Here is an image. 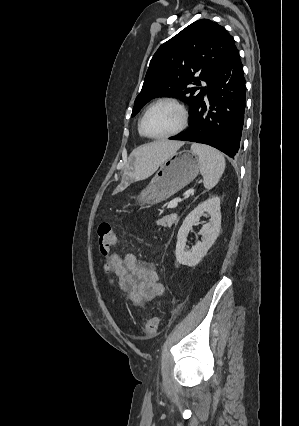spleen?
Returning a JSON list of instances; mask_svg holds the SVG:
<instances>
[{"label":"spleen","instance_id":"1","mask_svg":"<svg viewBox=\"0 0 299 426\" xmlns=\"http://www.w3.org/2000/svg\"><path fill=\"white\" fill-rule=\"evenodd\" d=\"M191 150L199 157L204 187L212 189L219 182L225 170L224 156L216 149L202 144H192Z\"/></svg>","mask_w":299,"mask_h":426}]
</instances>
